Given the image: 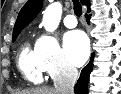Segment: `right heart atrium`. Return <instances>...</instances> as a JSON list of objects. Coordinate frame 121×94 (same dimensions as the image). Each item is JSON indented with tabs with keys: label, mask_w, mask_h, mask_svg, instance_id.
Masks as SVG:
<instances>
[{
	"label": "right heart atrium",
	"mask_w": 121,
	"mask_h": 94,
	"mask_svg": "<svg viewBox=\"0 0 121 94\" xmlns=\"http://www.w3.org/2000/svg\"><path fill=\"white\" fill-rule=\"evenodd\" d=\"M37 61L44 73L52 78H68L75 74L74 66L67 60L57 38L41 35L35 44Z\"/></svg>",
	"instance_id": "obj_1"
}]
</instances>
